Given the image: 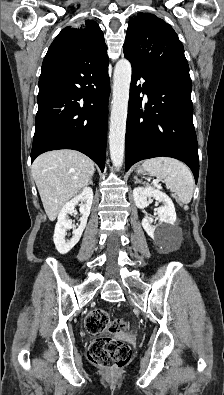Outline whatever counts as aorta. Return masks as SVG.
<instances>
[{
	"instance_id": "aorta-1",
	"label": "aorta",
	"mask_w": 224,
	"mask_h": 395,
	"mask_svg": "<svg viewBox=\"0 0 224 395\" xmlns=\"http://www.w3.org/2000/svg\"><path fill=\"white\" fill-rule=\"evenodd\" d=\"M132 76L131 64L120 59L115 66L113 76V99L110 117L109 148L110 157L117 169L122 167L125 149L126 121Z\"/></svg>"
}]
</instances>
